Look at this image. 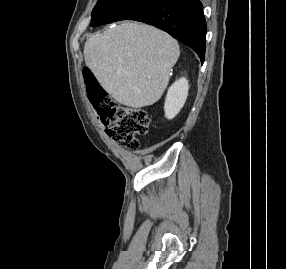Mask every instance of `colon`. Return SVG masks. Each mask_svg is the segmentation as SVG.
Masks as SVG:
<instances>
[{"mask_svg": "<svg viewBox=\"0 0 286 269\" xmlns=\"http://www.w3.org/2000/svg\"><path fill=\"white\" fill-rule=\"evenodd\" d=\"M87 93L108 136L121 145L136 150V135L149 131L148 114L142 109H130L115 103L94 79L87 82Z\"/></svg>", "mask_w": 286, "mask_h": 269, "instance_id": "1", "label": "colon"}]
</instances>
